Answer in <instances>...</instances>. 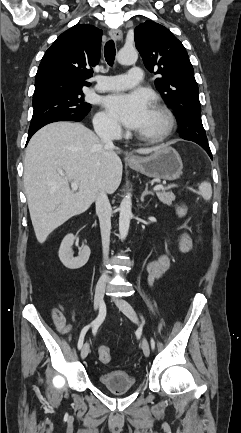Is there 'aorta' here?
<instances>
[{
  "mask_svg": "<svg viewBox=\"0 0 241 433\" xmlns=\"http://www.w3.org/2000/svg\"><path fill=\"white\" fill-rule=\"evenodd\" d=\"M137 59L138 53L133 48H122L117 54V61L122 65L135 64ZM131 217L132 200L130 195H126L120 204L119 233L121 240H124L128 234Z\"/></svg>",
  "mask_w": 241,
  "mask_h": 433,
  "instance_id": "aorta-1",
  "label": "aorta"
}]
</instances>
